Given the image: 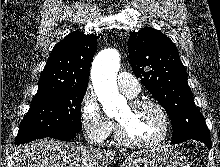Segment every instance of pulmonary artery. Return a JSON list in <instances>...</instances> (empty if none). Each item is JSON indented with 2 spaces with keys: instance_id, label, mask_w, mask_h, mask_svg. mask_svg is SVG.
<instances>
[{
  "instance_id": "1",
  "label": "pulmonary artery",
  "mask_w": 220,
  "mask_h": 167,
  "mask_svg": "<svg viewBox=\"0 0 220 167\" xmlns=\"http://www.w3.org/2000/svg\"><path fill=\"white\" fill-rule=\"evenodd\" d=\"M118 87L129 98L137 96L140 92L138 80L127 72H120L117 76Z\"/></svg>"
}]
</instances>
